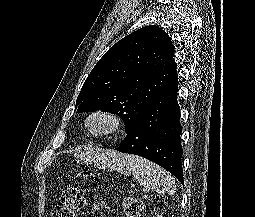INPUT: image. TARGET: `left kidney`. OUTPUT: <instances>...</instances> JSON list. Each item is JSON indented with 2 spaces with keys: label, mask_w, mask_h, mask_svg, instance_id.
Instances as JSON below:
<instances>
[{
  "label": "left kidney",
  "mask_w": 255,
  "mask_h": 217,
  "mask_svg": "<svg viewBox=\"0 0 255 217\" xmlns=\"http://www.w3.org/2000/svg\"><path fill=\"white\" fill-rule=\"evenodd\" d=\"M156 217H162V216L158 215V216H156Z\"/></svg>",
  "instance_id": "left-kidney-1"
}]
</instances>
